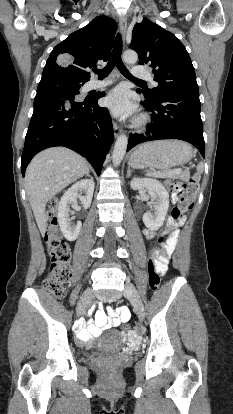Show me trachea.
I'll list each match as a JSON object with an SVG mask.
<instances>
[{"label":"trachea","instance_id":"3493384b","mask_svg":"<svg viewBox=\"0 0 233 414\" xmlns=\"http://www.w3.org/2000/svg\"><path fill=\"white\" fill-rule=\"evenodd\" d=\"M121 53H122V37L118 33L116 35V38H115L114 47H113L111 57H110L107 65H106V67L103 68V69H100V70L99 69L94 70V72L96 74H98L99 79H103V78L107 77L109 75V73L116 66L118 68V70L121 72V74L123 76H125L126 78L130 79L131 81H134V82H137V83H146L145 81L137 79V78L133 77L130 74V72L128 71V69L126 68L124 63L122 62Z\"/></svg>","mask_w":233,"mask_h":414}]
</instances>
